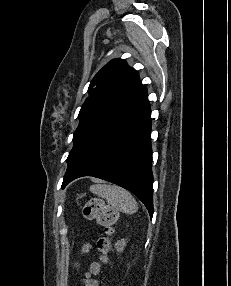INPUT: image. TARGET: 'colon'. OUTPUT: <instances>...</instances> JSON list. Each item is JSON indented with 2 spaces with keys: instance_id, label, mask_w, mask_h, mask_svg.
I'll list each match as a JSON object with an SVG mask.
<instances>
[{
  "instance_id": "obj_1",
  "label": "colon",
  "mask_w": 231,
  "mask_h": 286,
  "mask_svg": "<svg viewBox=\"0 0 231 286\" xmlns=\"http://www.w3.org/2000/svg\"><path fill=\"white\" fill-rule=\"evenodd\" d=\"M81 210L86 219L95 221L104 228V235L98 239L97 248L101 253V261L106 264L111 246L110 237L118 220V212L100 198L90 199L82 205Z\"/></svg>"
}]
</instances>
